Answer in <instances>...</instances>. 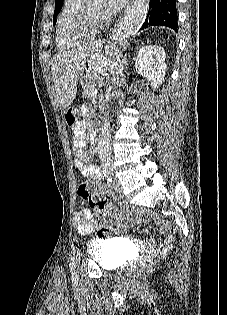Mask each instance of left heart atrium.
I'll return each instance as SVG.
<instances>
[{"label":"left heart atrium","mask_w":227,"mask_h":315,"mask_svg":"<svg viewBox=\"0 0 227 315\" xmlns=\"http://www.w3.org/2000/svg\"><path fill=\"white\" fill-rule=\"evenodd\" d=\"M127 5V0H106L101 9L102 17L108 19Z\"/></svg>","instance_id":"1"}]
</instances>
